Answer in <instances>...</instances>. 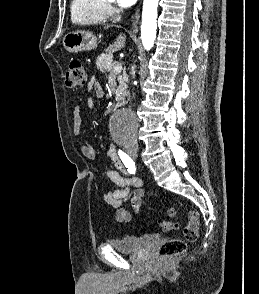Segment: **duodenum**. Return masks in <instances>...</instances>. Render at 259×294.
Returning <instances> with one entry per match:
<instances>
[{"instance_id":"1","label":"duodenum","mask_w":259,"mask_h":294,"mask_svg":"<svg viewBox=\"0 0 259 294\" xmlns=\"http://www.w3.org/2000/svg\"><path fill=\"white\" fill-rule=\"evenodd\" d=\"M124 100H125V97H121L116 105V108H120L124 106Z\"/></svg>"}]
</instances>
